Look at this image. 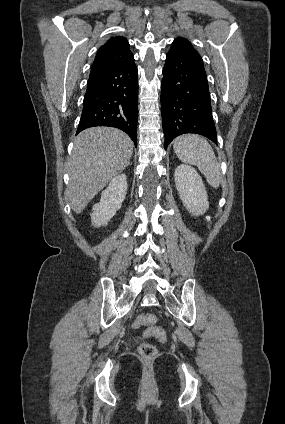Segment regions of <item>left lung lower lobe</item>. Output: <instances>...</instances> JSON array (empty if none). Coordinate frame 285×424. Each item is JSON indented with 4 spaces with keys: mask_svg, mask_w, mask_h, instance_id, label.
I'll list each match as a JSON object with an SVG mask.
<instances>
[{
    "mask_svg": "<svg viewBox=\"0 0 285 424\" xmlns=\"http://www.w3.org/2000/svg\"><path fill=\"white\" fill-rule=\"evenodd\" d=\"M161 108L165 149L175 137L185 133L217 142L203 60L184 38H176L166 55Z\"/></svg>",
    "mask_w": 285,
    "mask_h": 424,
    "instance_id": "obj_1",
    "label": "left lung lower lobe"
}]
</instances>
